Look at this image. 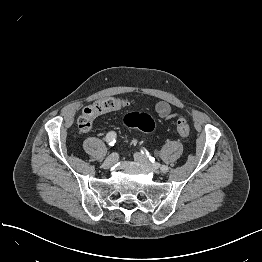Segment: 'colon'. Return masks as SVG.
Wrapping results in <instances>:
<instances>
[{
	"label": "colon",
	"mask_w": 262,
	"mask_h": 262,
	"mask_svg": "<svg viewBox=\"0 0 262 262\" xmlns=\"http://www.w3.org/2000/svg\"><path fill=\"white\" fill-rule=\"evenodd\" d=\"M124 102L118 100H110L108 106L111 108L119 109L124 106ZM97 111H101L100 107L96 108ZM92 120L86 114L79 119V127L81 130L85 131L91 127ZM123 123L126 127L131 129H138L144 133H152L155 129V123L152 117L146 113H129L124 119ZM177 132L181 139L186 140L190 136V126L185 118H180L177 122Z\"/></svg>",
	"instance_id": "5ec220e1"
}]
</instances>
